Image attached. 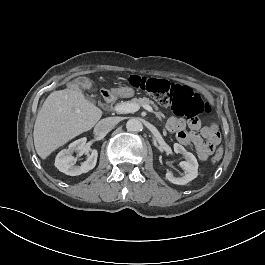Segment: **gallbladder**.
<instances>
[{"label":"gallbladder","instance_id":"1","mask_svg":"<svg viewBox=\"0 0 265 265\" xmlns=\"http://www.w3.org/2000/svg\"><path fill=\"white\" fill-rule=\"evenodd\" d=\"M77 82L80 84V85H84L86 86V88L88 89V91H93L94 89V86L92 83H90L89 81H87L83 76H80L78 79H77ZM91 98V97H90ZM87 99H89V97H87ZM92 99V98H91Z\"/></svg>","mask_w":265,"mask_h":265}]
</instances>
